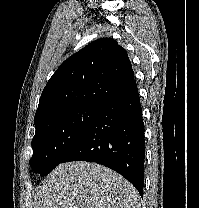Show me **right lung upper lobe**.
Returning a JSON list of instances; mask_svg holds the SVG:
<instances>
[{"label":"right lung upper lobe","instance_id":"1","mask_svg":"<svg viewBox=\"0 0 199 208\" xmlns=\"http://www.w3.org/2000/svg\"><path fill=\"white\" fill-rule=\"evenodd\" d=\"M134 83L126 50L111 38L98 39L65 60L49 79L34 124L73 108L100 106Z\"/></svg>","mask_w":199,"mask_h":208}]
</instances>
